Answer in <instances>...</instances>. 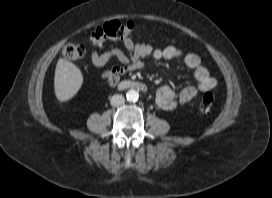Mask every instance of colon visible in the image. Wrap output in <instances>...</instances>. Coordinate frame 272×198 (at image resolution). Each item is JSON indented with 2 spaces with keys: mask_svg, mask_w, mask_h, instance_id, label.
Here are the masks:
<instances>
[{
  "mask_svg": "<svg viewBox=\"0 0 272 198\" xmlns=\"http://www.w3.org/2000/svg\"><path fill=\"white\" fill-rule=\"evenodd\" d=\"M137 33V26L132 21H109L96 28L91 33V40L95 44H102L110 40L124 39ZM65 59L71 61L82 60L86 56V48L79 44H67L62 50ZM214 103V97L210 92H205L200 100V110L208 112Z\"/></svg>",
  "mask_w": 272,
  "mask_h": 198,
  "instance_id": "1",
  "label": "colon"
}]
</instances>
